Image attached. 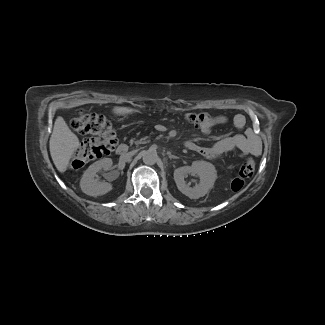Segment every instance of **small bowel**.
I'll return each mask as SVG.
<instances>
[{
  "label": "small bowel",
  "mask_w": 325,
  "mask_h": 325,
  "mask_svg": "<svg viewBox=\"0 0 325 325\" xmlns=\"http://www.w3.org/2000/svg\"><path fill=\"white\" fill-rule=\"evenodd\" d=\"M207 116V122L200 127L201 132L206 135L211 134L216 126L225 124L229 121V118L222 114L211 115L207 113ZM232 122L237 129H242L245 126L246 120L242 114H236L232 118ZM187 147L201 153L203 156L209 159H218L232 151H238L241 155L256 152L255 148H253L252 142L245 134L242 133L224 137L210 146H200L189 143Z\"/></svg>",
  "instance_id": "1"
}]
</instances>
